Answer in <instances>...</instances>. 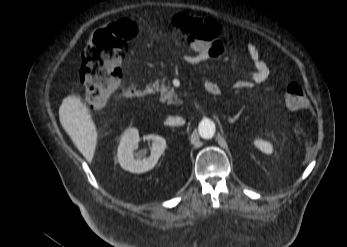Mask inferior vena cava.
<instances>
[{"mask_svg":"<svg viewBox=\"0 0 347 247\" xmlns=\"http://www.w3.org/2000/svg\"><path fill=\"white\" fill-rule=\"evenodd\" d=\"M167 123H168L169 125H174V126H176V125H183V124L185 123V121H184V119L181 118V117H169V118L167 119Z\"/></svg>","mask_w":347,"mask_h":247,"instance_id":"inferior-vena-cava-1","label":"inferior vena cava"}]
</instances>
